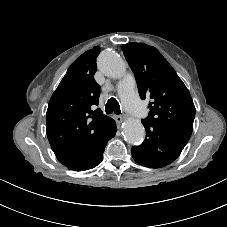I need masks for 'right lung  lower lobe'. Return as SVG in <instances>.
I'll return each instance as SVG.
<instances>
[{
    "label": "right lung lower lobe",
    "mask_w": 227,
    "mask_h": 227,
    "mask_svg": "<svg viewBox=\"0 0 227 227\" xmlns=\"http://www.w3.org/2000/svg\"><path fill=\"white\" fill-rule=\"evenodd\" d=\"M117 127L115 121L112 119L106 126L105 131L97 143V145L89 152L80 155L66 164H64L68 169L74 171H84L97 166L103 160V152L106 143L109 139L113 138L116 134Z\"/></svg>",
    "instance_id": "98d812e1"
}]
</instances>
